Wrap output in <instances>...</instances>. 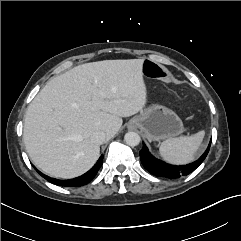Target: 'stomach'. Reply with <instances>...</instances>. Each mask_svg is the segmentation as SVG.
<instances>
[{
	"instance_id": "0dacf381",
	"label": "stomach",
	"mask_w": 241,
	"mask_h": 241,
	"mask_svg": "<svg viewBox=\"0 0 241 241\" xmlns=\"http://www.w3.org/2000/svg\"><path fill=\"white\" fill-rule=\"evenodd\" d=\"M129 129H140L149 141L176 137L184 131L182 120L171 109L153 104L144 108L128 123Z\"/></svg>"
}]
</instances>
